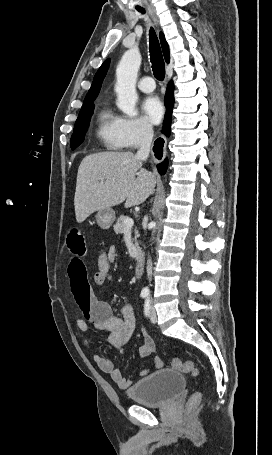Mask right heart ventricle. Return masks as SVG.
<instances>
[{
	"label": "right heart ventricle",
	"mask_w": 272,
	"mask_h": 455,
	"mask_svg": "<svg viewBox=\"0 0 272 455\" xmlns=\"http://www.w3.org/2000/svg\"><path fill=\"white\" fill-rule=\"evenodd\" d=\"M120 117L116 116L106 105L97 114L96 134L103 146L112 151L124 147L119 133Z\"/></svg>",
	"instance_id": "right-heart-ventricle-1"
}]
</instances>
